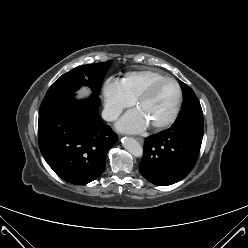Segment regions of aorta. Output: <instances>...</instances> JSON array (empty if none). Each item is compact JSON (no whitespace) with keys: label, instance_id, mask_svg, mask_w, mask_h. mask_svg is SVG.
Wrapping results in <instances>:
<instances>
[{"label":"aorta","instance_id":"aorta-1","mask_svg":"<svg viewBox=\"0 0 248 248\" xmlns=\"http://www.w3.org/2000/svg\"><path fill=\"white\" fill-rule=\"evenodd\" d=\"M123 147L131 153L134 157H141L143 155V148L134 138L125 137L122 140Z\"/></svg>","mask_w":248,"mask_h":248}]
</instances>
